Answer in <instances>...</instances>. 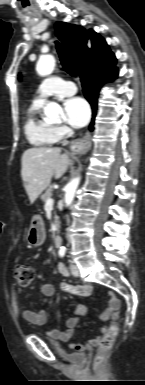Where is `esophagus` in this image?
<instances>
[{
    "instance_id": "obj_1",
    "label": "esophagus",
    "mask_w": 145,
    "mask_h": 385,
    "mask_svg": "<svg viewBox=\"0 0 145 385\" xmlns=\"http://www.w3.org/2000/svg\"><path fill=\"white\" fill-rule=\"evenodd\" d=\"M91 146V136L87 133L82 139L76 140L72 144V149L79 153H86Z\"/></svg>"
}]
</instances>
